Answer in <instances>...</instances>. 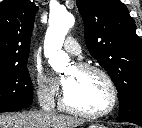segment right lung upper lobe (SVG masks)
I'll return each instance as SVG.
<instances>
[{"mask_svg": "<svg viewBox=\"0 0 142 128\" xmlns=\"http://www.w3.org/2000/svg\"><path fill=\"white\" fill-rule=\"evenodd\" d=\"M38 7L27 0L0 3V68L27 64Z\"/></svg>", "mask_w": 142, "mask_h": 128, "instance_id": "right-lung-upper-lobe-1", "label": "right lung upper lobe"}]
</instances>
